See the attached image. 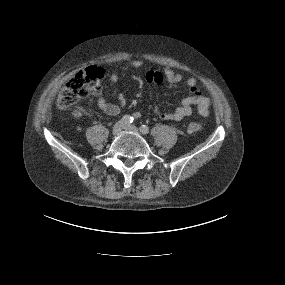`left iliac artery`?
<instances>
[{
    "label": "left iliac artery",
    "mask_w": 285,
    "mask_h": 285,
    "mask_svg": "<svg viewBox=\"0 0 285 285\" xmlns=\"http://www.w3.org/2000/svg\"><path fill=\"white\" fill-rule=\"evenodd\" d=\"M140 131L143 133V134H147L149 132V128L146 126V125H142L140 127Z\"/></svg>",
    "instance_id": "44dca946"
}]
</instances>
